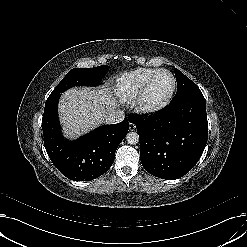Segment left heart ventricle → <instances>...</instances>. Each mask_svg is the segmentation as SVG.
Listing matches in <instances>:
<instances>
[{
	"mask_svg": "<svg viewBox=\"0 0 247 247\" xmlns=\"http://www.w3.org/2000/svg\"><path fill=\"white\" fill-rule=\"evenodd\" d=\"M172 80L166 73L159 74L152 82L149 90V97L152 99H161L170 91Z\"/></svg>",
	"mask_w": 247,
	"mask_h": 247,
	"instance_id": "left-heart-ventricle-1",
	"label": "left heart ventricle"
}]
</instances>
